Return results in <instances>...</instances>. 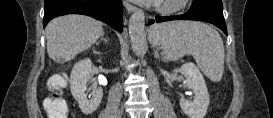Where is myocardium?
<instances>
[{
	"instance_id": "f54148a6",
	"label": "myocardium",
	"mask_w": 273,
	"mask_h": 118,
	"mask_svg": "<svg viewBox=\"0 0 273 118\" xmlns=\"http://www.w3.org/2000/svg\"><path fill=\"white\" fill-rule=\"evenodd\" d=\"M188 0H163L157 5L161 13H172L182 9Z\"/></svg>"
}]
</instances>
